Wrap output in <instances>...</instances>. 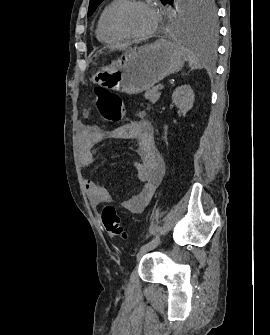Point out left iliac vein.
<instances>
[{"label": "left iliac vein", "instance_id": "left-iliac-vein-1", "mask_svg": "<svg viewBox=\"0 0 270 335\" xmlns=\"http://www.w3.org/2000/svg\"><path fill=\"white\" fill-rule=\"evenodd\" d=\"M152 248H143L137 253V259L141 258L143 255L148 253Z\"/></svg>", "mask_w": 270, "mask_h": 335}]
</instances>
